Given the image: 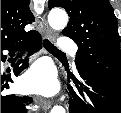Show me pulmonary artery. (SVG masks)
Masks as SVG:
<instances>
[{"instance_id":"1","label":"pulmonary artery","mask_w":121,"mask_h":113,"mask_svg":"<svg viewBox=\"0 0 121 113\" xmlns=\"http://www.w3.org/2000/svg\"><path fill=\"white\" fill-rule=\"evenodd\" d=\"M59 47H60L61 51H69V52H71L73 54L76 53V51H77V46L68 37H64L62 39Z\"/></svg>"}]
</instances>
